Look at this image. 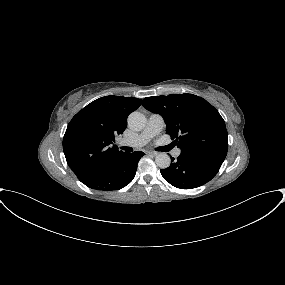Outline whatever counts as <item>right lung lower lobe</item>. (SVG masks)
<instances>
[{"mask_svg": "<svg viewBox=\"0 0 285 285\" xmlns=\"http://www.w3.org/2000/svg\"><path fill=\"white\" fill-rule=\"evenodd\" d=\"M143 152H125L111 163L88 173L79 180L89 188L112 191L119 190L129 184L135 177L137 164Z\"/></svg>", "mask_w": 285, "mask_h": 285, "instance_id": "obj_1", "label": "right lung lower lobe"}]
</instances>
